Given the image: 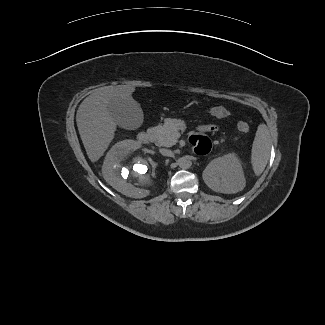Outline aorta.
Wrapping results in <instances>:
<instances>
[{
  "label": "aorta",
  "instance_id": "obj_1",
  "mask_svg": "<svg viewBox=\"0 0 325 325\" xmlns=\"http://www.w3.org/2000/svg\"><path fill=\"white\" fill-rule=\"evenodd\" d=\"M178 165L181 168L186 169V168H189L190 167V161L187 160L186 158L182 157V158H179L178 159Z\"/></svg>",
  "mask_w": 325,
  "mask_h": 325
}]
</instances>
